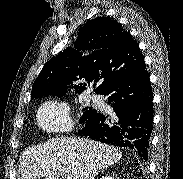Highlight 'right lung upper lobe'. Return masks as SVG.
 <instances>
[{
	"label": "right lung upper lobe",
	"instance_id": "1",
	"mask_svg": "<svg viewBox=\"0 0 183 179\" xmlns=\"http://www.w3.org/2000/svg\"><path fill=\"white\" fill-rule=\"evenodd\" d=\"M144 63L136 40L109 17L89 20L79 30L74 48L50 59L32 86L31 99L64 96L73 87L81 93L94 82L96 93L136 72ZM87 83H75L79 79Z\"/></svg>",
	"mask_w": 183,
	"mask_h": 179
}]
</instances>
